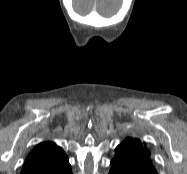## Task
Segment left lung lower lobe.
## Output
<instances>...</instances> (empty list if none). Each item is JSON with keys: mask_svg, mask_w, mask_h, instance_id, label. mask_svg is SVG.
Instances as JSON below:
<instances>
[{"mask_svg": "<svg viewBox=\"0 0 187 174\" xmlns=\"http://www.w3.org/2000/svg\"><path fill=\"white\" fill-rule=\"evenodd\" d=\"M109 174H137V173L131 172L129 169L125 168L123 163H114L112 164ZM143 174H158V173L157 171L151 172L148 169H143Z\"/></svg>", "mask_w": 187, "mask_h": 174, "instance_id": "obj_1", "label": "left lung lower lobe"}]
</instances>
